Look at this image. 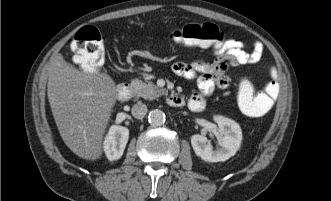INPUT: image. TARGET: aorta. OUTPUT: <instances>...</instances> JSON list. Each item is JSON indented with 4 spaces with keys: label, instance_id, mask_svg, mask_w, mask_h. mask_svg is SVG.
Here are the masks:
<instances>
[{
    "label": "aorta",
    "instance_id": "aorta-1",
    "mask_svg": "<svg viewBox=\"0 0 331 201\" xmlns=\"http://www.w3.org/2000/svg\"><path fill=\"white\" fill-rule=\"evenodd\" d=\"M165 114L162 110L154 109L148 115V121L153 126H160L165 122Z\"/></svg>",
    "mask_w": 331,
    "mask_h": 201
}]
</instances>
